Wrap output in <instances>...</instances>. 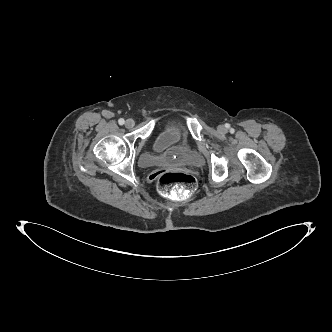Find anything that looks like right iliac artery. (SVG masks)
I'll return each mask as SVG.
<instances>
[{
	"mask_svg": "<svg viewBox=\"0 0 332 332\" xmlns=\"http://www.w3.org/2000/svg\"><path fill=\"white\" fill-rule=\"evenodd\" d=\"M118 122H119L120 125H123L125 123L123 118L119 119Z\"/></svg>",
	"mask_w": 332,
	"mask_h": 332,
	"instance_id": "right-iliac-artery-1",
	"label": "right iliac artery"
}]
</instances>
